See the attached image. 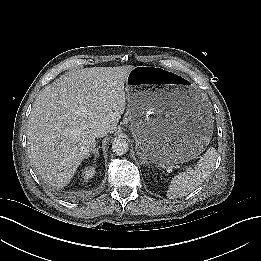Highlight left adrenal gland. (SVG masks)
<instances>
[{
  "label": "left adrenal gland",
  "instance_id": "a2214340",
  "mask_svg": "<svg viewBox=\"0 0 261 261\" xmlns=\"http://www.w3.org/2000/svg\"><path fill=\"white\" fill-rule=\"evenodd\" d=\"M140 158H141V164H145V163L147 164L146 158H144L143 156H141Z\"/></svg>",
  "mask_w": 261,
  "mask_h": 261
}]
</instances>
